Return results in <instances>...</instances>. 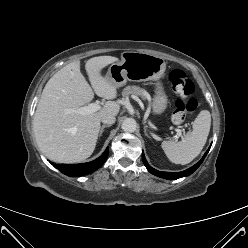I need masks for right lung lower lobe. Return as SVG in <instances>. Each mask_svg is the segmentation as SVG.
I'll list each match as a JSON object with an SVG mask.
<instances>
[{
	"label": "right lung lower lobe",
	"mask_w": 248,
	"mask_h": 248,
	"mask_svg": "<svg viewBox=\"0 0 248 248\" xmlns=\"http://www.w3.org/2000/svg\"><path fill=\"white\" fill-rule=\"evenodd\" d=\"M109 154L108 147L104 151V153L95 159L94 161L87 162V163H81V164H55L54 165L57 169H59L63 174L67 176H83L90 174L100 168L104 162L106 161Z\"/></svg>",
	"instance_id": "obj_1"
}]
</instances>
